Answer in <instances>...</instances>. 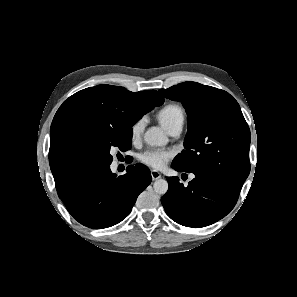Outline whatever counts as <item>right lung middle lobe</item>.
I'll use <instances>...</instances> for the list:
<instances>
[{"instance_id":"dd1d6c3e","label":"right lung middle lobe","mask_w":297,"mask_h":297,"mask_svg":"<svg viewBox=\"0 0 297 297\" xmlns=\"http://www.w3.org/2000/svg\"><path fill=\"white\" fill-rule=\"evenodd\" d=\"M152 108L148 109V111ZM132 128L106 129L84 137L77 147V155L84 170L110 165L112 146L122 151L131 148Z\"/></svg>"}]
</instances>
